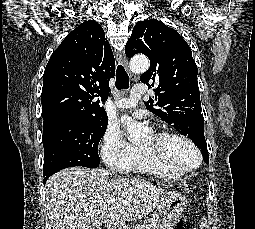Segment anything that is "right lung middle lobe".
I'll return each mask as SVG.
<instances>
[{
	"instance_id": "right-lung-middle-lobe-1",
	"label": "right lung middle lobe",
	"mask_w": 255,
	"mask_h": 229,
	"mask_svg": "<svg viewBox=\"0 0 255 229\" xmlns=\"http://www.w3.org/2000/svg\"><path fill=\"white\" fill-rule=\"evenodd\" d=\"M108 119L58 118L43 122V174L73 166H99L98 144Z\"/></svg>"
}]
</instances>
